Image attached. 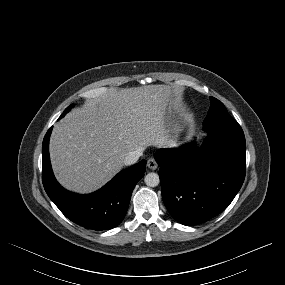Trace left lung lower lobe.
<instances>
[{"mask_svg": "<svg viewBox=\"0 0 285 285\" xmlns=\"http://www.w3.org/2000/svg\"><path fill=\"white\" fill-rule=\"evenodd\" d=\"M203 147L159 149L154 157L164 204L187 226L204 223L225 210L240 190L246 169L242 129L209 131Z\"/></svg>", "mask_w": 285, "mask_h": 285, "instance_id": "obj_1", "label": "left lung lower lobe"}]
</instances>
